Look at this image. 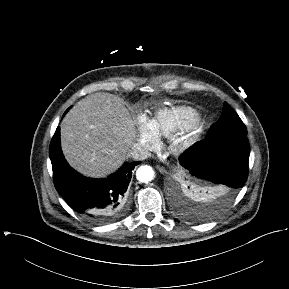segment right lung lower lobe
Listing matches in <instances>:
<instances>
[{"label": "right lung lower lobe", "instance_id": "1", "mask_svg": "<svg viewBox=\"0 0 289 289\" xmlns=\"http://www.w3.org/2000/svg\"><path fill=\"white\" fill-rule=\"evenodd\" d=\"M49 156L56 190L87 221L105 224L116 221L125 214L132 170L141 162L125 163L116 173L104 179L84 177L64 159L59 127L52 138Z\"/></svg>", "mask_w": 289, "mask_h": 289}]
</instances>
